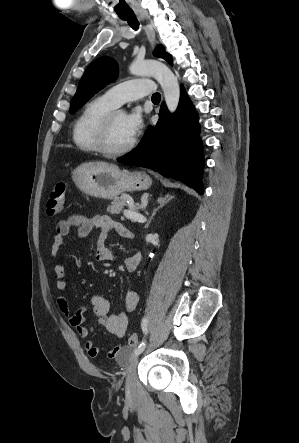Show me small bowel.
<instances>
[{
	"mask_svg": "<svg viewBox=\"0 0 299 443\" xmlns=\"http://www.w3.org/2000/svg\"><path fill=\"white\" fill-rule=\"evenodd\" d=\"M74 227L78 229V236L80 238L87 236L93 230L99 231L95 246V259L100 262H110L115 259L114 253L107 246L108 238L112 233H116L125 238L132 236L129 229L120 223L112 221L108 216L97 215L88 217L71 215L67 219L59 221L56 225V232L51 245V254L55 259H58L65 237L70 234ZM140 261V254H133L124 259V267L128 272H132L136 270ZM54 274L57 279V289L60 291L65 290L67 287L65 268L59 261L54 265ZM138 302V294L135 291H128L124 296L123 310L115 314H110L109 302L99 295H93L90 299V307L80 308L71 313L66 298L62 295L57 298L60 311L66 316L69 324L76 329L78 335L82 338H88L94 329V327H86L83 325L85 314L88 310H92L98 317V326H102L109 334L117 338L124 337L129 325L128 315L136 309ZM85 347L89 356L92 358H98L102 353L92 340L88 339ZM123 350L122 345H117L107 352V357L109 359H119Z\"/></svg>",
	"mask_w": 299,
	"mask_h": 443,
	"instance_id": "small-bowel-1",
	"label": "small bowel"
}]
</instances>
